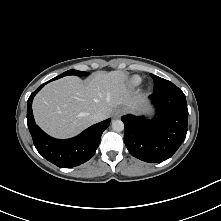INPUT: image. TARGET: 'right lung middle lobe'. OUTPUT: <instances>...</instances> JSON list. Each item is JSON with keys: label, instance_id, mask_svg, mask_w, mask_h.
<instances>
[{"label": "right lung middle lobe", "instance_id": "dd1d6c3e", "mask_svg": "<svg viewBox=\"0 0 221 221\" xmlns=\"http://www.w3.org/2000/svg\"><path fill=\"white\" fill-rule=\"evenodd\" d=\"M67 75L85 76V75H87V73L84 71L69 70V71H66V72L62 73L61 75L53 78L52 80H56L58 78H61V77L67 76ZM52 80H50V81H52Z\"/></svg>", "mask_w": 221, "mask_h": 221}]
</instances>
